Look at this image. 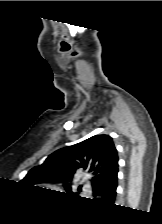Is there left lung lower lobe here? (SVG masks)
I'll return each instance as SVG.
<instances>
[{
	"label": "left lung lower lobe",
	"mask_w": 162,
	"mask_h": 224,
	"mask_svg": "<svg viewBox=\"0 0 162 224\" xmlns=\"http://www.w3.org/2000/svg\"><path fill=\"white\" fill-rule=\"evenodd\" d=\"M117 173L114 171L99 187L93 188L94 201L113 204L116 196Z\"/></svg>",
	"instance_id": "obj_1"
}]
</instances>
